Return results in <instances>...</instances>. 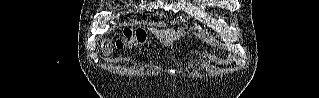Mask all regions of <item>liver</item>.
Instances as JSON below:
<instances>
[{
    "mask_svg": "<svg viewBox=\"0 0 319 98\" xmlns=\"http://www.w3.org/2000/svg\"><path fill=\"white\" fill-rule=\"evenodd\" d=\"M154 32L159 38L164 40L179 36L178 33H175L174 31H168V30H154Z\"/></svg>",
    "mask_w": 319,
    "mask_h": 98,
    "instance_id": "obj_1",
    "label": "liver"
}]
</instances>
